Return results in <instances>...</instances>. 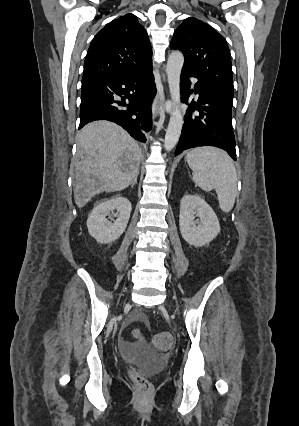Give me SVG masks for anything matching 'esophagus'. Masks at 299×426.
I'll use <instances>...</instances> for the list:
<instances>
[{
	"instance_id": "34e87169",
	"label": "esophagus",
	"mask_w": 299,
	"mask_h": 426,
	"mask_svg": "<svg viewBox=\"0 0 299 426\" xmlns=\"http://www.w3.org/2000/svg\"><path fill=\"white\" fill-rule=\"evenodd\" d=\"M162 108L168 110L170 108V105L167 102H161L159 96L156 95L152 104V113L154 118L158 115Z\"/></svg>"
}]
</instances>
